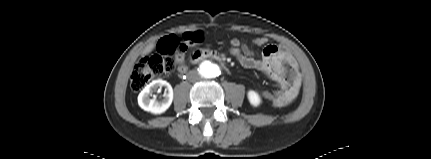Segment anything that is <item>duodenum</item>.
I'll list each match as a JSON object with an SVG mask.
<instances>
[{
  "label": "duodenum",
  "instance_id": "410a0bca",
  "mask_svg": "<svg viewBox=\"0 0 431 159\" xmlns=\"http://www.w3.org/2000/svg\"><path fill=\"white\" fill-rule=\"evenodd\" d=\"M207 58H212L220 62H223L222 57L217 52L210 51V50H197L192 53L190 60L192 63H197Z\"/></svg>",
  "mask_w": 431,
  "mask_h": 159
}]
</instances>
